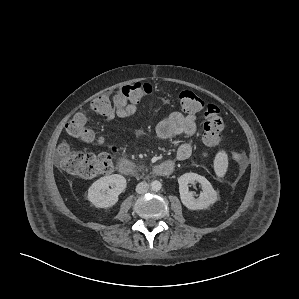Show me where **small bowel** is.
<instances>
[{
    "mask_svg": "<svg viewBox=\"0 0 299 299\" xmlns=\"http://www.w3.org/2000/svg\"><path fill=\"white\" fill-rule=\"evenodd\" d=\"M138 104L130 102L119 95L113 98V107L105 115L106 122L110 123L115 118H127L136 113ZM197 133V117L194 114L184 115L180 112L171 113L166 119L156 126V134L160 139L176 138L180 136H193ZM192 148L188 143L179 145L176 158L180 161L188 159Z\"/></svg>",
    "mask_w": 299,
    "mask_h": 299,
    "instance_id": "small-bowel-1",
    "label": "small bowel"
}]
</instances>
